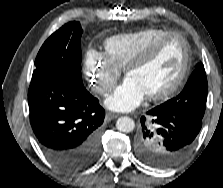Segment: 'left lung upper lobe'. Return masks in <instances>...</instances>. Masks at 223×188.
Segmentation results:
<instances>
[{"instance_id":"obj_1","label":"left lung upper lobe","mask_w":223,"mask_h":188,"mask_svg":"<svg viewBox=\"0 0 223 188\" xmlns=\"http://www.w3.org/2000/svg\"><path fill=\"white\" fill-rule=\"evenodd\" d=\"M207 77L202 63L196 65L182 92L161 104L168 114L190 116L202 120L207 101Z\"/></svg>"}]
</instances>
